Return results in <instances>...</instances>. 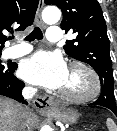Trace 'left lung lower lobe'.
Returning <instances> with one entry per match:
<instances>
[{
    "instance_id": "1",
    "label": "left lung lower lobe",
    "mask_w": 117,
    "mask_h": 131,
    "mask_svg": "<svg viewBox=\"0 0 117 131\" xmlns=\"http://www.w3.org/2000/svg\"><path fill=\"white\" fill-rule=\"evenodd\" d=\"M110 98H111V92H109L107 89L104 88L101 90V95L98 98V100L95 101L94 103H91V105L93 104V105H100V106L107 107L108 109L113 111L114 114L117 116L116 104L108 102L110 101L109 100Z\"/></svg>"
}]
</instances>
